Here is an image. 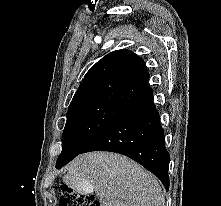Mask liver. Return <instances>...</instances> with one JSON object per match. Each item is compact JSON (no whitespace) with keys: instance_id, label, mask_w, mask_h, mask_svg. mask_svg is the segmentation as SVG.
<instances>
[{"instance_id":"6515ba94","label":"liver","mask_w":221,"mask_h":206,"mask_svg":"<svg viewBox=\"0 0 221 206\" xmlns=\"http://www.w3.org/2000/svg\"><path fill=\"white\" fill-rule=\"evenodd\" d=\"M63 178L79 193L95 191L102 206H164L158 180L126 156L91 152L76 157ZM83 190V192H81Z\"/></svg>"}]
</instances>
